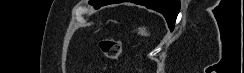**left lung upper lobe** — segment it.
<instances>
[{"label":"left lung upper lobe","mask_w":244,"mask_h":73,"mask_svg":"<svg viewBox=\"0 0 244 73\" xmlns=\"http://www.w3.org/2000/svg\"><path fill=\"white\" fill-rule=\"evenodd\" d=\"M89 4L94 5L95 8H100L101 6H103L100 4V0H90Z\"/></svg>","instance_id":"1"}]
</instances>
